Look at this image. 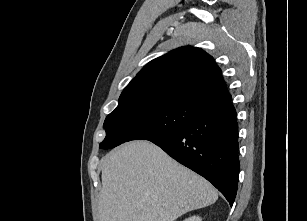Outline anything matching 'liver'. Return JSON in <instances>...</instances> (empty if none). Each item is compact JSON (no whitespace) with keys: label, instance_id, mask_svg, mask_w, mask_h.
<instances>
[{"label":"liver","instance_id":"6515ba94","mask_svg":"<svg viewBox=\"0 0 307 221\" xmlns=\"http://www.w3.org/2000/svg\"><path fill=\"white\" fill-rule=\"evenodd\" d=\"M204 178L148 141H133L102 159L99 221H175L216 202Z\"/></svg>","mask_w":307,"mask_h":221}]
</instances>
